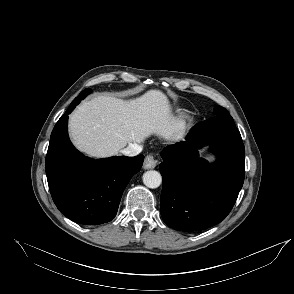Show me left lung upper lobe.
<instances>
[{
	"instance_id": "left-lung-upper-lobe-1",
	"label": "left lung upper lobe",
	"mask_w": 294,
	"mask_h": 294,
	"mask_svg": "<svg viewBox=\"0 0 294 294\" xmlns=\"http://www.w3.org/2000/svg\"><path fill=\"white\" fill-rule=\"evenodd\" d=\"M214 111H215V114H216L217 116H229V115H230L229 112H228L225 108H223V107H221V106H217V107L214 109Z\"/></svg>"
}]
</instances>
